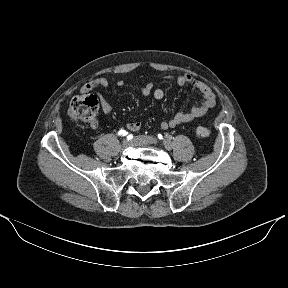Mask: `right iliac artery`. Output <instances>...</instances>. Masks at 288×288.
<instances>
[{"instance_id":"1","label":"right iliac artery","mask_w":288,"mask_h":288,"mask_svg":"<svg viewBox=\"0 0 288 288\" xmlns=\"http://www.w3.org/2000/svg\"><path fill=\"white\" fill-rule=\"evenodd\" d=\"M125 134H126V131H125V130H120V131L118 132V135H120V136H125Z\"/></svg>"}]
</instances>
